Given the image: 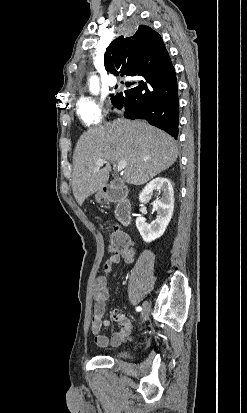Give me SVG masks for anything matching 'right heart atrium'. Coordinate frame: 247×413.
<instances>
[{
	"mask_svg": "<svg viewBox=\"0 0 247 413\" xmlns=\"http://www.w3.org/2000/svg\"><path fill=\"white\" fill-rule=\"evenodd\" d=\"M93 109V110H92ZM112 112L110 105H95L94 100H80L77 106L78 118L89 127L94 125L95 119H105ZM99 130V129H94Z\"/></svg>",
	"mask_w": 247,
	"mask_h": 413,
	"instance_id": "d8ad5b80",
	"label": "right heart atrium"
}]
</instances>
